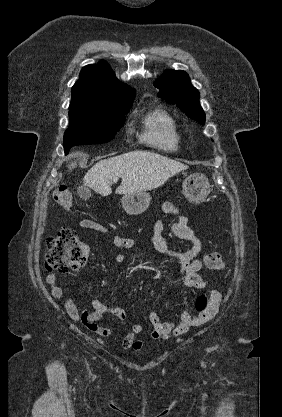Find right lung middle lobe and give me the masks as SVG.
I'll return each mask as SVG.
<instances>
[{
    "instance_id": "dd1d6c3e",
    "label": "right lung middle lobe",
    "mask_w": 282,
    "mask_h": 417,
    "mask_svg": "<svg viewBox=\"0 0 282 417\" xmlns=\"http://www.w3.org/2000/svg\"><path fill=\"white\" fill-rule=\"evenodd\" d=\"M135 95L72 96L70 125L64 135L67 153L74 145L99 144L112 140L123 126Z\"/></svg>"
}]
</instances>
